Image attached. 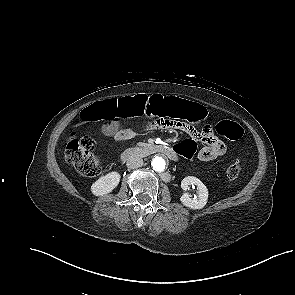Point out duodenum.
I'll use <instances>...</instances> for the list:
<instances>
[{"label": "duodenum", "mask_w": 295, "mask_h": 295, "mask_svg": "<svg viewBox=\"0 0 295 295\" xmlns=\"http://www.w3.org/2000/svg\"><path fill=\"white\" fill-rule=\"evenodd\" d=\"M146 153H161L167 156L170 160L176 161L178 159V154L172 147L164 144H149L125 150L121 155V160L127 162L131 159L143 156Z\"/></svg>", "instance_id": "1"}]
</instances>
